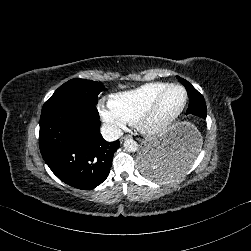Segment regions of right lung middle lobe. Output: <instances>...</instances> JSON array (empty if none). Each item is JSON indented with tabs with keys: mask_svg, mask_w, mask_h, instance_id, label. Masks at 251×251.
Listing matches in <instances>:
<instances>
[{
	"mask_svg": "<svg viewBox=\"0 0 251 251\" xmlns=\"http://www.w3.org/2000/svg\"><path fill=\"white\" fill-rule=\"evenodd\" d=\"M104 89L102 84L95 81L71 79L61 85L46 103L74 100L95 105L98 94Z\"/></svg>",
	"mask_w": 251,
	"mask_h": 251,
	"instance_id": "obj_1",
	"label": "right lung middle lobe"
}]
</instances>
